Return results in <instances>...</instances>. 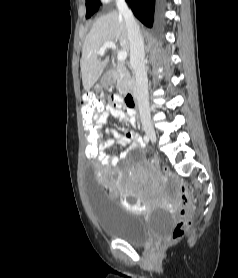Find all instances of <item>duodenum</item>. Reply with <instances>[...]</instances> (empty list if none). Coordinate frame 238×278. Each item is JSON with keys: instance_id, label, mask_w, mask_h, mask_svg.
I'll return each instance as SVG.
<instances>
[{"instance_id": "duodenum-1", "label": "duodenum", "mask_w": 238, "mask_h": 278, "mask_svg": "<svg viewBox=\"0 0 238 278\" xmlns=\"http://www.w3.org/2000/svg\"><path fill=\"white\" fill-rule=\"evenodd\" d=\"M110 77L113 78L114 77V73H110ZM125 102L126 104L131 107L134 108L137 106L138 100H137V94L134 90H130L126 96H125Z\"/></svg>"}]
</instances>
